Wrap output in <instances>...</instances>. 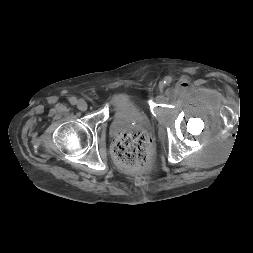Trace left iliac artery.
<instances>
[{
	"label": "left iliac artery",
	"instance_id": "left-iliac-artery-1",
	"mask_svg": "<svg viewBox=\"0 0 253 253\" xmlns=\"http://www.w3.org/2000/svg\"><path fill=\"white\" fill-rule=\"evenodd\" d=\"M172 82V78L170 77V76H166L165 78H164V83L165 84H170Z\"/></svg>",
	"mask_w": 253,
	"mask_h": 253
}]
</instances>
